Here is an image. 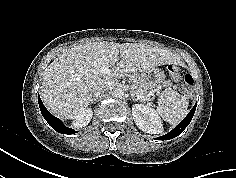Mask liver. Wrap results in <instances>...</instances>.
I'll list each match as a JSON object with an SVG mask.
<instances>
[{
	"label": "liver",
	"instance_id": "liver-1",
	"mask_svg": "<svg viewBox=\"0 0 236 178\" xmlns=\"http://www.w3.org/2000/svg\"><path fill=\"white\" fill-rule=\"evenodd\" d=\"M176 63V55L169 50L147 44L101 41L76 45L45 69L41 99L52 114L74 119L89 106L96 85L112 82L119 74ZM103 66L111 67L110 74L100 71Z\"/></svg>",
	"mask_w": 236,
	"mask_h": 178
}]
</instances>
